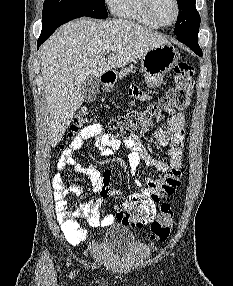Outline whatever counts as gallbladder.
I'll return each mask as SVG.
<instances>
[{
  "label": "gallbladder",
  "mask_w": 233,
  "mask_h": 286,
  "mask_svg": "<svg viewBox=\"0 0 233 286\" xmlns=\"http://www.w3.org/2000/svg\"><path fill=\"white\" fill-rule=\"evenodd\" d=\"M100 78L95 75H88L82 85L84 101L87 103L93 102L98 94Z\"/></svg>",
  "instance_id": "1"
}]
</instances>
